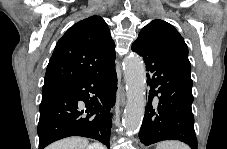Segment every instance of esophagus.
<instances>
[{"mask_svg": "<svg viewBox=\"0 0 227 149\" xmlns=\"http://www.w3.org/2000/svg\"><path fill=\"white\" fill-rule=\"evenodd\" d=\"M119 100H120V105H124L125 103V95L123 91H120L119 93Z\"/></svg>", "mask_w": 227, "mask_h": 149, "instance_id": "obj_1", "label": "esophagus"}]
</instances>
